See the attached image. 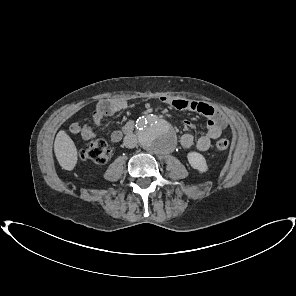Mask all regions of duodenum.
<instances>
[{"mask_svg":"<svg viewBox=\"0 0 296 296\" xmlns=\"http://www.w3.org/2000/svg\"><path fill=\"white\" fill-rule=\"evenodd\" d=\"M134 128V121H129L125 126H124V131L125 133H130Z\"/></svg>","mask_w":296,"mask_h":296,"instance_id":"1","label":"duodenum"}]
</instances>
